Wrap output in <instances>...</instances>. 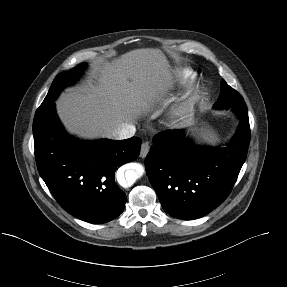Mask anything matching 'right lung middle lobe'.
<instances>
[{
    "instance_id": "1",
    "label": "right lung middle lobe",
    "mask_w": 287,
    "mask_h": 287,
    "mask_svg": "<svg viewBox=\"0 0 287 287\" xmlns=\"http://www.w3.org/2000/svg\"><path fill=\"white\" fill-rule=\"evenodd\" d=\"M85 66H86L85 63H81L76 67H74L73 69H71L70 71L58 74L55 77L50 87V90L41 105L54 101L58 97L62 89H64L67 85L75 81V79L84 70Z\"/></svg>"
}]
</instances>
